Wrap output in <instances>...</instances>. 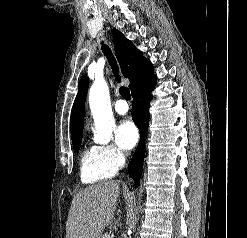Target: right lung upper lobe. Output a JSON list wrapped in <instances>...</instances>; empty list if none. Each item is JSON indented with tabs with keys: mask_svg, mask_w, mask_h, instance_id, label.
<instances>
[{
	"mask_svg": "<svg viewBox=\"0 0 247 238\" xmlns=\"http://www.w3.org/2000/svg\"><path fill=\"white\" fill-rule=\"evenodd\" d=\"M113 40L115 54L122 73L124 77L130 80L129 88L134 92L154 76L152 64L130 40L126 39L124 35L116 29L113 30ZM88 85V78L83 76L78 86V94L70 118L72 143L82 140L84 108Z\"/></svg>",
	"mask_w": 247,
	"mask_h": 238,
	"instance_id": "cb5924a9",
	"label": "right lung upper lobe"
}]
</instances>
